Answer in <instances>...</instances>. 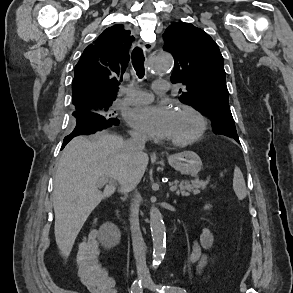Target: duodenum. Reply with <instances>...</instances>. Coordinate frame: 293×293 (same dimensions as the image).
<instances>
[{
	"instance_id": "obj_1",
	"label": "duodenum",
	"mask_w": 293,
	"mask_h": 293,
	"mask_svg": "<svg viewBox=\"0 0 293 293\" xmlns=\"http://www.w3.org/2000/svg\"><path fill=\"white\" fill-rule=\"evenodd\" d=\"M114 213H115V218H116L117 222L121 225V227L125 231H129V225H128L127 221L120 215V213L118 212V210L116 208L114 210Z\"/></svg>"
}]
</instances>
